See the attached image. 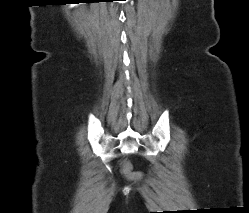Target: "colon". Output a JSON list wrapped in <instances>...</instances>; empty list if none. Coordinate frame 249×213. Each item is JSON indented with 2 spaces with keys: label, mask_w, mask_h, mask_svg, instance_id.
<instances>
[{
  "label": "colon",
  "mask_w": 249,
  "mask_h": 213,
  "mask_svg": "<svg viewBox=\"0 0 249 213\" xmlns=\"http://www.w3.org/2000/svg\"><path fill=\"white\" fill-rule=\"evenodd\" d=\"M122 171L126 175H131L132 174L131 166L127 161L123 162Z\"/></svg>",
  "instance_id": "obj_1"
}]
</instances>
